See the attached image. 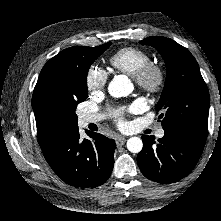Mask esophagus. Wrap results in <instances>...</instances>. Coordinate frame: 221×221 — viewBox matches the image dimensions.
<instances>
[{"label":"esophagus","instance_id":"obj_1","mask_svg":"<svg viewBox=\"0 0 221 221\" xmlns=\"http://www.w3.org/2000/svg\"><path fill=\"white\" fill-rule=\"evenodd\" d=\"M126 142V139L124 137H117L116 138V145L117 147L124 145Z\"/></svg>","mask_w":221,"mask_h":221}]
</instances>
